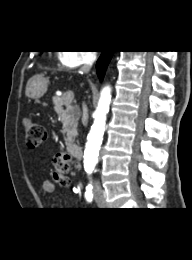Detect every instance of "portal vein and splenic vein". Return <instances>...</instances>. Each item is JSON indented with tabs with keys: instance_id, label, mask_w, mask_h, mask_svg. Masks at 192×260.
Wrapping results in <instances>:
<instances>
[{
	"instance_id": "1",
	"label": "portal vein and splenic vein",
	"mask_w": 192,
	"mask_h": 260,
	"mask_svg": "<svg viewBox=\"0 0 192 260\" xmlns=\"http://www.w3.org/2000/svg\"><path fill=\"white\" fill-rule=\"evenodd\" d=\"M64 99L66 100L67 103H71L73 98H74V93L73 91H67L64 95H63Z\"/></svg>"
}]
</instances>
